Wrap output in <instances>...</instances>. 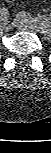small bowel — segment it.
Returning <instances> with one entry per match:
<instances>
[{
	"instance_id": "obj_1",
	"label": "small bowel",
	"mask_w": 51,
	"mask_h": 153,
	"mask_svg": "<svg viewBox=\"0 0 51 153\" xmlns=\"http://www.w3.org/2000/svg\"><path fill=\"white\" fill-rule=\"evenodd\" d=\"M6 2H8V3H12V2H14L15 0H5Z\"/></svg>"
}]
</instances>
